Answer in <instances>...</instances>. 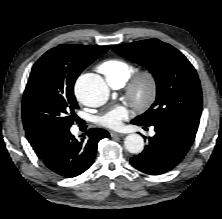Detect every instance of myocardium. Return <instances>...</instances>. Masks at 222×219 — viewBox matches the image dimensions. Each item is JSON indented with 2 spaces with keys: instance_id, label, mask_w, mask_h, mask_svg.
<instances>
[{
  "instance_id": "f54148a6",
  "label": "myocardium",
  "mask_w": 222,
  "mask_h": 219,
  "mask_svg": "<svg viewBox=\"0 0 222 219\" xmlns=\"http://www.w3.org/2000/svg\"><path fill=\"white\" fill-rule=\"evenodd\" d=\"M158 89L156 76L148 70L136 74L128 83L126 96L138 108L148 109L155 101Z\"/></svg>"
}]
</instances>
